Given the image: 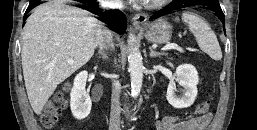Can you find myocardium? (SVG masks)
Segmentation results:
<instances>
[{"mask_svg":"<svg viewBox=\"0 0 257 130\" xmlns=\"http://www.w3.org/2000/svg\"><path fill=\"white\" fill-rule=\"evenodd\" d=\"M169 0H149L146 2V6L149 8H158L166 4Z\"/></svg>","mask_w":257,"mask_h":130,"instance_id":"f54148a6","label":"myocardium"}]
</instances>
